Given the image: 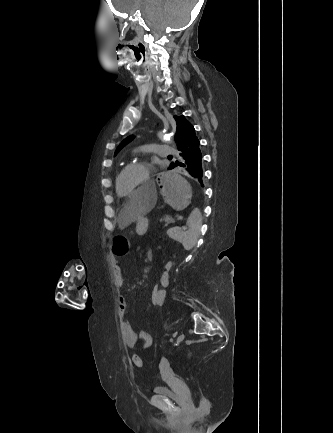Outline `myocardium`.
<instances>
[{
  "mask_svg": "<svg viewBox=\"0 0 333 433\" xmlns=\"http://www.w3.org/2000/svg\"><path fill=\"white\" fill-rule=\"evenodd\" d=\"M133 168H140L143 170V177L142 179L137 183V185L133 188L132 191L125 194V196H130L133 193H135L139 188L145 186L149 182V176L151 172V166L149 163L145 161H136L133 163L128 164L116 177V191L120 192L119 190V180L120 178L129 170ZM123 194V193H122Z\"/></svg>",
  "mask_w": 333,
  "mask_h": 433,
  "instance_id": "obj_1",
  "label": "myocardium"
}]
</instances>
